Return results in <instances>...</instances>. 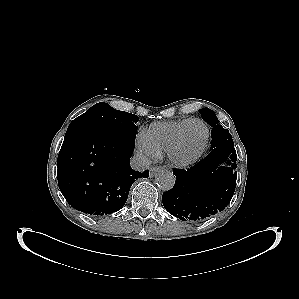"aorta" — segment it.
Segmentation results:
<instances>
[{
	"label": "aorta",
	"mask_w": 299,
	"mask_h": 299,
	"mask_svg": "<svg viewBox=\"0 0 299 299\" xmlns=\"http://www.w3.org/2000/svg\"><path fill=\"white\" fill-rule=\"evenodd\" d=\"M155 181L160 189L168 191L172 189L175 184V176L171 171L162 170L156 175Z\"/></svg>",
	"instance_id": "aorta-1"
}]
</instances>
